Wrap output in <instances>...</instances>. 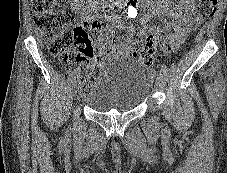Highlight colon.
Returning <instances> with one entry per match:
<instances>
[{"label": "colon", "instance_id": "obj_1", "mask_svg": "<svg viewBox=\"0 0 227 173\" xmlns=\"http://www.w3.org/2000/svg\"><path fill=\"white\" fill-rule=\"evenodd\" d=\"M63 0H31L35 23L41 36L48 44L50 53L62 65L74 61L81 63L80 88L88 92L96 80L99 63L104 54H95L92 42L111 33L110 26L100 20L76 18L61 8ZM217 0H199L198 10L202 17L213 15ZM164 42L162 36L151 37L145 41L134 39L133 55L144 65L151 66L157 59L155 48ZM98 61V62H97Z\"/></svg>", "mask_w": 227, "mask_h": 173}]
</instances>
